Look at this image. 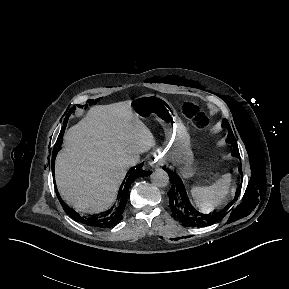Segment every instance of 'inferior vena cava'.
Here are the masks:
<instances>
[{"label": "inferior vena cava", "instance_id": "inferior-vena-cava-1", "mask_svg": "<svg viewBox=\"0 0 289 289\" xmlns=\"http://www.w3.org/2000/svg\"><path fill=\"white\" fill-rule=\"evenodd\" d=\"M138 161H139L138 158L133 157V158H131V159L129 160L128 165H129V166H134V165H136V164L138 163Z\"/></svg>", "mask_w": 289, "mask_h": 289}]
</instances>
